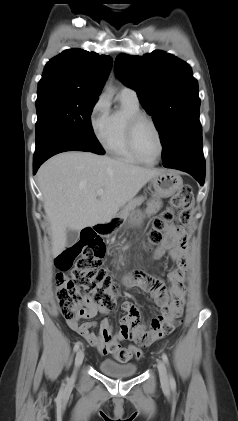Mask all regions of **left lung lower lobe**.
<instances>
[{"instance_id":"left-lung-lower-lobe-1","label":"left lung lower lobe","mask_w":238,"mask_h":421,"mask_svg":"<svg viewBox=\"0 0 238 421\" xmlns=\"http://www.w3.org/2000/svg\"><path fill=\"white\" fill-rule=\"evenodd\" d=\"M163 166L188 172L203 186L205 160L203 157L202 133L194 135L184 142L168 159L164 160Z\"/></svg>"}]
</instances>
